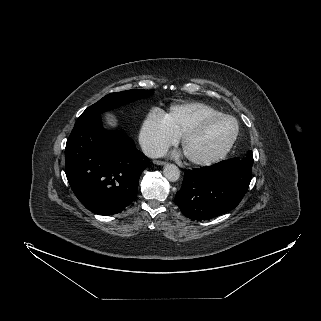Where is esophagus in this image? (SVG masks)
I'll list each match as a JSON object with an SVG mask.
<instances>
[{
    "label": "esophagus",
    "instance_id": "34e87169",
    "mask_svg": "<svg viewBox=\"0 0 321 321\" xmlns=\"http://www.w3.org/2000/svg\"><path fill=\"white\" fill-rule=\"evenodd\" d=\"M153 163L156 165H165L166 164V162L161 161V160H154Z\"/></svg>",
    "mask_w": 321,
    "mask_h": 321
}]
</instances>
